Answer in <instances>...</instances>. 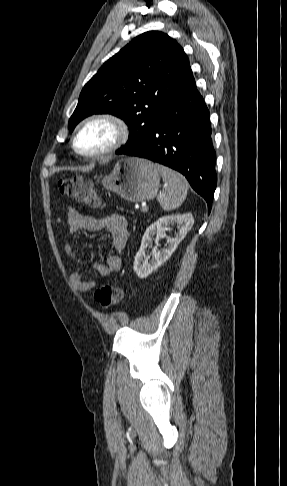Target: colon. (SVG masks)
<instances>
[{"mask_svg": "<svg viewBox=\"0 0 287 486\" xmlns=\"http://www.w3.org/2000/svg\"><path fill=\"white\" fill-rule=\"evenodd\" d=\"M59 192L79 203L91 206L99 205V198L93 182L82 176L61 179L57 184ZM96 302L102 309L117 305L123 298V291L114 285H103L94 293Z\"/></svg>", "mask_w": 287, "mask_h": 486, "instance_id": "colon-1", "label": "colon"}]
</instances>
